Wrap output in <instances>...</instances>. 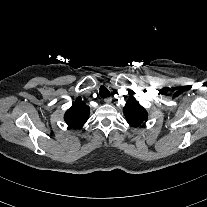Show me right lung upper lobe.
I'll return each instance as SVG.
<instances>
[{
	"label": "right lung upper lobe",
	"instance_id": "obj_1",
	"mask_svg": "<svg viewBox=\"0 0 207 207\" xmlns=\"http://www.w3.org/2000/svg\"><path fill=\"white\" fill-rule=\"evenodd\" d=\"M90 108L82 100L77 99L65 113L64 120L74 128L82 127L88 119Z\"/></svg>",
	"mask_w": 207,
	"mask_h": 207
}]
</instances>
